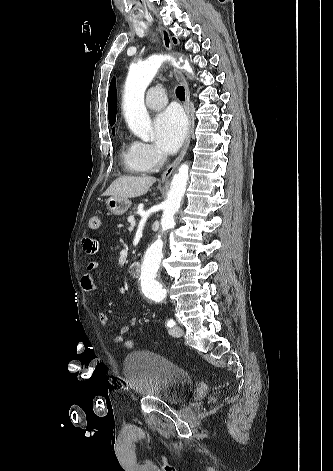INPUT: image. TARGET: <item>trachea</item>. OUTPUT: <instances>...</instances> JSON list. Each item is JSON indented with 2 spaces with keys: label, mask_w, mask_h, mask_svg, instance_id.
<instances>
[{
  "label": "trachea",
  "mask_w": 333,
  "mask_h": 471,
  "mask_svg": "<svg viewBox=\"0 0 333 471\" xmlns=\"http://www.w3.org/2000/svg\"><path fill=\"white\" fill-rule=\"evenodd\" d=\"M176 96H177L181 101H184V100H185V91H184V87H183V86L177 87V89H176Z\"/></svg>",
  "instance_id": "trachea-1"
}]
</instances>
